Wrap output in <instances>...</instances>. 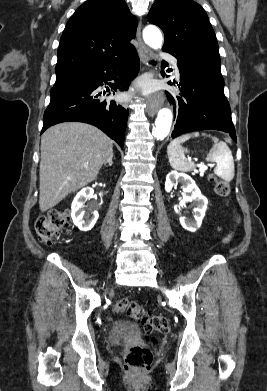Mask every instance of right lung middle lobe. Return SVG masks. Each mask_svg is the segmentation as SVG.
Wrapping results in <instances>:
<instances>
[{
	"label": "right lung middle lobe",
	"instance_id": "right-lung-middle-lobe-1",
	"mask_svg": "<svg viewBox=\"0 0 267 391\" xmlns=\"http://www.w3.org/2000/svg\"><path fill=\"white\" fill-rule=\"evenodd\" d=\"M66 77H68V76H66ZM66 77H57V78H56V81H60V80H62V79H64V78H66Z\"/></svg>",
	"mask_w": 267,
	"mask_h": 391
}]
</instances>
